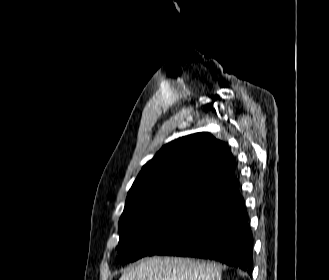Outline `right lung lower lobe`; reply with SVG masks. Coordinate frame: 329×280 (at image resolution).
<instances>
[{
    "mask_svg": "<svg viewBox=\"0 0 329 280\" xmlns=\"http://www.w3.org/2000/svg\"><path fill=\"white\" fill-rule=\"evenodd\" d=\"M252 233L245 202L233 176L203 201L149 256L213 259L252 273Z\"/></svg>",
    "mask_w": 329,
    "mask_h": 280,
    "instance_id": "1",
    "label": "right lung lower lobe"
}]
</instances>
